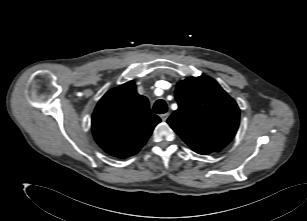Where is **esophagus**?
Listing matches in <instances>:
<instances>
[{"mask_svg": "<svg viewBox=\"0 0 307 221\" xmlns=\"http://www.w3.org/2000/svg\"><path fill=\"white\" fill-rule=\"evenodd\" d=\"M169 115H170L169 112L164 113V114L161 115V119H162L163 121H166V120L168 119Z\"/></svg>", "mask_w": 307, "mask_h": 221, "instance_id": "34e87169", "label": "esophagus"}]
</instances>
